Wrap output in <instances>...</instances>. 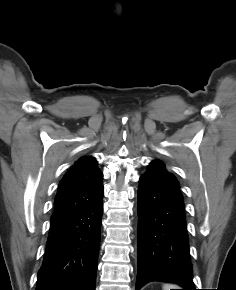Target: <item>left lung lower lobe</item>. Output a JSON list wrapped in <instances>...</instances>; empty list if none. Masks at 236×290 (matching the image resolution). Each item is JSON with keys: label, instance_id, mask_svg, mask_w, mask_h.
Here are the masks:
<instances>
[{"label": "left lung lower lobe", "instance_id": "1", "mask_svg": "<svg viewBox=\"0 0 236 290\" xmlns=\"http://www.w3.org/2000/svg\"><path fill=\"white\" fill-rule=\"evenodd\" d=\"M139 182L136 290L150 281L196 290L179 186L148 175H142Z\"/></svg>", "mask_w": 236, "mask_h": 290}]
</instances>
